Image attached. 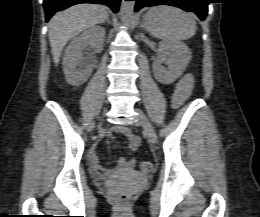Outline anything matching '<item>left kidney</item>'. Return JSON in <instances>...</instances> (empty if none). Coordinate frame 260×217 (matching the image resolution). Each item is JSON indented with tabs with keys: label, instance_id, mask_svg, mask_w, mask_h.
Masks as SVG:
<instances>
[{
	"label": "left kidney",
	"instance_id": "1",
	"mask_svg": "<svg viewBox=\"0 0 260 217\" xmlns=\"http://www.w3.org/2000/svg\"><path fill=\"white\" fill-rule=\"evenodd\" d=\"M190 60L191 52L184 43L162 41L153 62L154 76L162 84H171L183 74Z\"/></svg>",
	"mask_w": 260,
	"mask_h": 217
}]
</instances>
